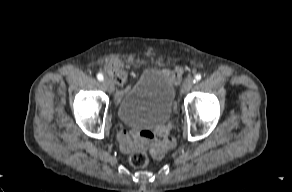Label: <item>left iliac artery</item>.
Masks as SVG:
<instances>
[{
  "label": "left iliac artery",
  "mask_w": 292,
  "mask_h": 192,
  "mask_svg": "<svg viewBox=\"0 0 292 192\" xmlns=\"http://www.w3.org/2000/svg\"><path fill=\"white\" fill-rule=\"evenodd\" d=\"M201 80V75L200 74H197L194 78V83L198 82Z\"/></svg>",
  "instance_id": "44dca946"
}]
</instances>
